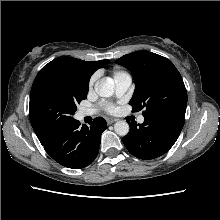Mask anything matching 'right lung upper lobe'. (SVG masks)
<instances>
[{"label": "right lung upper lobe", "instance_id": "obj_1", "mask_svg": "<svg viewBox=\"0 0 220 220\" xmlns=\"http://www.w3.org/2000/svg\"><path fill=\"white\" fill-rule=\"evenodd\" d=\"M107 63V60H100L94 62L83 61L80 59L72 58V57H58L53 61L49 62L45 65L41 70H65L76 73L86 80L90 79V76L99 68L104 66ZM39 141L44 143L50 137H42L38 136Z\"/></svg>", "mask_w": 220, "mask_h": 220}]
</instances>
